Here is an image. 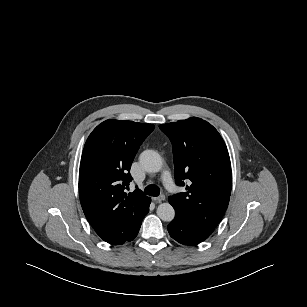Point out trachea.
<instances>
[{"mask_svg": "<svg viewBox=\"0 0 307 307\" xmlns=\"http://www.w3.org/2000/svg\"><path fill=\"white\" fill-rule=\"evenodd\" d=\"M145 193L147 195H150V196H158L160 194V189L159 187L155 186V185H148L146 188H145Z\"/></svg>", "mask_w": 307, "mask_h": 307, "instance_id": "obj_1", "label": "trachea"}]
</instances>
